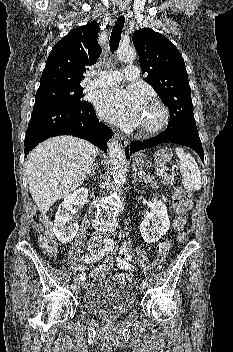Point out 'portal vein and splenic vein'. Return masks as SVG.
Instances as JSON below:
<instances>
[{
	"mask_svg": "<svg viewBox=\"0 0 233 352\" xmlns=\"http://www.w3.org/2000/svg\"><path fill=\"white\" fill-rule=\"evenodd\" d=\"M139 175H140L141 177L146 176V174H145L144 172H140Z\"/></svg>",
	"mask_w": 233,
	"mask_h": 352,
	"instance_id": "18ae733b",
	"label": "portal vein and splenic vein"
}]
</instances>
